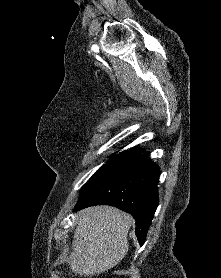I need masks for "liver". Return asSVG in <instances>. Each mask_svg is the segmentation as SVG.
I'll use <instances>...</instances> for the list:
<instances>
[{
    "mask_svg": "<svg viewBox=\"0 0 221 278\" xmlns=\"http://www.w3.org/2000/svg\"><path fill=\"white\" fill-rule=\"evenodd\" d=\"M134 219L110 206H95L78 213L68 263L80 276L99 275L116 266L128 252V231Z\"/></svg>",
    "mask_w": 221,
    "mask_h": 278,
    "instance_id": "obj_1",
    "label": "liver"
}]
</instances>
